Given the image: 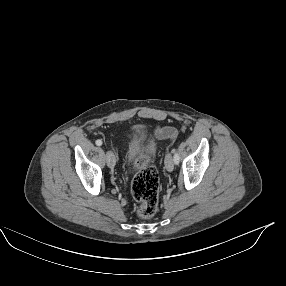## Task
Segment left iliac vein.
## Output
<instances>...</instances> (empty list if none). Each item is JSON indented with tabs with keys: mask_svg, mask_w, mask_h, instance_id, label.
<instances>
[{
	"mask_svg": "<svg viewBox=\"0 0 286 286\" xmlns=\"http://www.w3.org/2000/svg\"><path fill=\"white\" fill-rule=\"evenodd\" d=\"M165 168L167 171L171 172L174 169V162L171 154H167L165 158Z\"/></svg>",
	"mask_w": 286,
	"mask_h": 286,
	"instance_id": "obj_1",
	"label": "left iliac vein"
}]
</instances>
